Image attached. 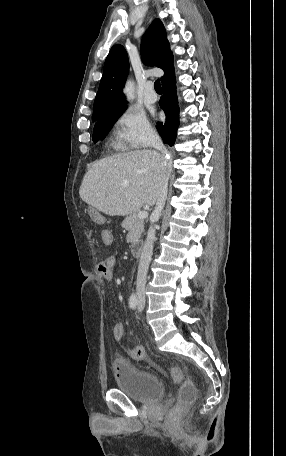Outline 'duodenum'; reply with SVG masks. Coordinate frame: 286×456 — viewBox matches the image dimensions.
I'll return each mask as SVG.
<instances>
[{"label":"duodenum","instance_id":"duodenum-1","mask_svg":"<svg viewBox=\"0 0 286 456\" xmlns=\"http://www.w3.org/2000/svg\"><path fill=\"white\" fill-rule=\"evenodd\" d=\"M141 252H142V243L141 242L133 243L131 246V253L134 256H139L141 254Z\"/></svg>","mask_w":286,"mask_h":456}]
</instances>
